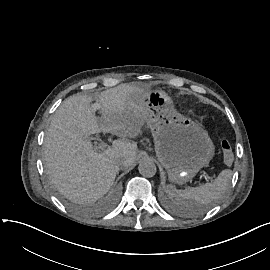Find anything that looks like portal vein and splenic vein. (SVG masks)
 Listing matches in <instances>:
<instances>
[{
  "mask_svg": "<svg viewBox=\"0 0 270 270\" xmlns=\"http://www.w3.org/2000/svg\"><path fill=\"white\" fill-rule=\"evenodd\" d=\"M106 132L109 130L107 127L103 128ZM106 150V143L104 141H101L97 146H95L93 148V151L95 153H102ZM205 177V181L208 183L210 180L213 182L215 180V178L213 176H209L208 174H206L205 172L202 174Z\"/></svg>",
  "mask_w": 270,
  "mask_h": 270,
  "instance_id": "18ae733b",
  "label": "portal vein and splenic vein"
}]
</instances>
